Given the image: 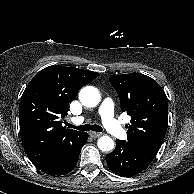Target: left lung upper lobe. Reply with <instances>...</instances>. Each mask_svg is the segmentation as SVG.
<instances>
[{"label": "left lung upper lobe", "instance_id": "5c2ea615", "mask_svg": "<svg viewBox=\"0 0 194 194\" xmlns=\"http://www.w3.org/2000/svg\"><path fill=\"white\" fill-rule=\"evenodd\" d=\"M121 110L131 116L128 142L158 153L168 125L167 96L160 85L141 73L111 75Z\"/></svg>", "mask_w": 194, "mask_h": 194}]
</instances>
